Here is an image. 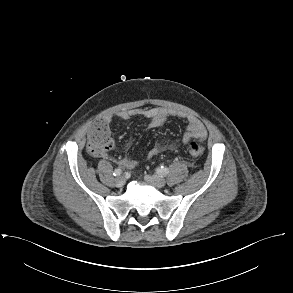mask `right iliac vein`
I'll list each match as a JSON object with an SVG mask.
<instances>
[{"label":"right iliac vein","instance_id":"right-iliac-vein-1","mask_svg":"<svg viewBox=\"0 0 293 293\" xmlns=\"http://www.w3.org/2000/svg\"><path fill=\"white\" fill-rule=\"evenodd\" d=\"M117 187H123L126 183V179L123 176H119L115 180Z\"/></svg>","mask_w":293,"mask_h":293}]
</instances>
